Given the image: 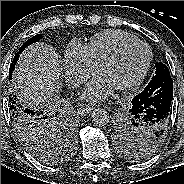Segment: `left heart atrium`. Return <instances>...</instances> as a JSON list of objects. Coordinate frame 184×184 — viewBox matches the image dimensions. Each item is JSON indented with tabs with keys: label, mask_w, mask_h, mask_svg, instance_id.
I'll use <instances>...</instances> for the list:
<instances>
[{
	"label": "left heart atrium",
	"mask_w": 184,
	"mask_h": 184,
	"mask_svg": "<svg viewBox=\"0 0 184 184\" xmlns=\"http://www.w3.org/2000/svg\"><path fill=\"white\" fill-rule=\"evenodd\" d=\"M114 89L110 81L101 74L86 85L82 97L89 101H101L109 97Z\"/></svg>",
	"instance_id": "obj_1"
}]
</instances>
